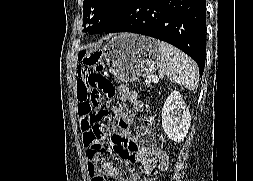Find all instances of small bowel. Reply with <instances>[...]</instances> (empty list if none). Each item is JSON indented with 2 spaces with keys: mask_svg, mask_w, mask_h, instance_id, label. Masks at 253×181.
Here are the masks:
<instances>
[{
  "mask_svg": "<svg viewBox=\"0 0 253 181\" xmlns=\"http://www.w3.org/2000/svg\"><path fill=\"white\" fill-rule=\"evenodd\" d=\"M88 70L80 66L77 69V102L78 114L81 117L85 114L86 97L88 86L86 77ZM119 102L132 104L135 109L141 111L144 104L138 100L135 92L128 90L126 87L119 89ZM111 116L114 121L111 137L112 152L121 156L127 162H142V175L132 173L129 178L122 175V171L110 160H92L88 154V172L93 181H106V176L115 181H148L149 176L156 174L158 170L167 168L169 160L165 151L159 147L153 138L150 129L139 128L138 135L130 134V125L132 116L122 110L121 107L115 106L111 110ZM107 131L111 132L110 129Z\"/></svg>",
  "mask_w": 253,
  "mask_h": 181,
  "instance_id": "small-bowel-1",
  "label": "small bowel"
}]
</instances>
